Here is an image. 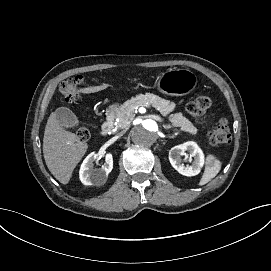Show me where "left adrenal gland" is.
Segmentation results:
<instances>
[{"label": "left adrenal gland", "instance_id": "obj_1", "mask_svg": "<svg viewBox=\"0 0 271 271\" xmlns=\"http://www.w3.org/2000/svg\"><path fill=\"white\" fill-rule=\"evenodd\" d=\"M163 128L164 129H171V128H174V126L173 125H166V124H164Z\"/></svg>", "mask_w": 271, "mask_h": 271}]
</instances>
